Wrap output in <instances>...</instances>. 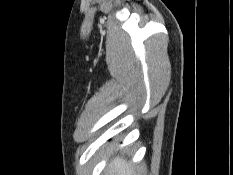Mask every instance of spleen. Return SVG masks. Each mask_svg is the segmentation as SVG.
I'll return each instance as SVG.
<instances>
[{
  "instance_id": "1",
  "label": "spleen",
  "mask_w": 233,
  "mask_h": 175,
  "mask_svg": "<svg viewBox=\"0 0 233 175\" xmlns=\"http://www.w3.org/2000/svg\"><path fill=\"white\" fill-rule=\"evenodd\" d=\"M110 175H135L134 168L127 161L117 157L108 166Z\"/></svg>"
}]
</instances>
